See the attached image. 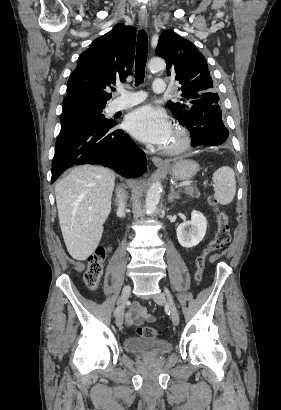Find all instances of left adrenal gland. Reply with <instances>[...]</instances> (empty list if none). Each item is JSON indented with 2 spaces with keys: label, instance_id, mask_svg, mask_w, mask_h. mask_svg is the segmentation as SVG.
Returning <instances> with one entry per match:
<instances>
[{
  "label": "left adrenal gland",
  "instance_id": "left-adrenal-gland-1",
  "mask_svg": "<svg viewBox=\"0 0 281 410\" xmlns=\"http://www.w3.org/2000/svg\"><path fill=\"white\" fill-rule=\"evenodd\" d=\"M180 196L177 192H175V189L173 186L170 187V193L168 195V201L173 202L175 199H179Z\"/></svg>",
  "mask_w": 281,
  "mask_h": 410
}]
</instances>
